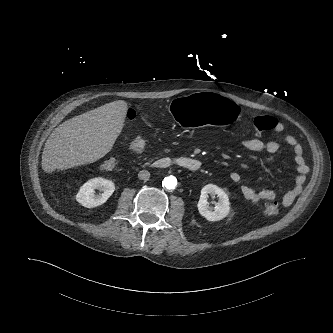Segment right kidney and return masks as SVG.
Masks as SVG:
<instances>
[{
  "instance_id": "1",
  "label": "right kidney",
  "mask_w": 333,
  "mask_h": 333,
  "mask_svg": "<svg viewBox=\"0 0 333 333\" xmlns=\"http://www.w3.org/2000/svg\"><path fill=\"white\" fill-rule=\"evenodd\" d=\"M95 189L103 191L95 195ZM115 191V185L111 180L102 177L93 178L84 183L76 195V200L87 208L97 207L104 204Z\"/></svg>"
}]
</instances>
